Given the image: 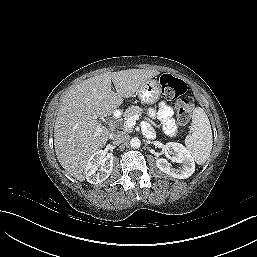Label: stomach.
Listing matches in <instances>:
<instances>
[{
  "mask_svg": "<svg viewBox=\"0 0 257 257\" xmlns=\"http://www.w3.org/2000/svg\"><path fill=\"white\" fill-rule=\"evenodd\" d=\"M136 94L141 102L150 105L154 104L159 100L161 95L160 84L155 79H149L139 87Z\"/></svg>",
  "mask_w": 257,
  "mask_h": 257,
  "instance_id": "obj_1",
  "label": "stomach"
}]
</instances>
